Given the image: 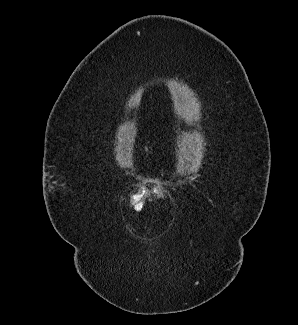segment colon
I'll use <instances>...</instances> for the list:
<instances>
[{
    "label": "colon",
    "mask_w": 298,
    "mask_h": 325,
    "mask_svg": "<svg viewBox=\"0 0 298 325\" xmlns=\"http://www.w3.org/2000/svg\"><path fill=\"white\" fill-rule=\"evenodd\" d=\"M164 194V188L161 184L154 185L153 187L140 185L135 189L132 198L134 208L138 211H141L144 208L146 200L150 196L162 197Z\"/></svg>",
    "instance_id": "5ec220e1"
}]
</instances>
